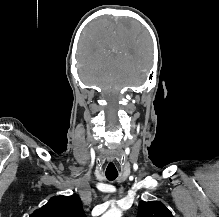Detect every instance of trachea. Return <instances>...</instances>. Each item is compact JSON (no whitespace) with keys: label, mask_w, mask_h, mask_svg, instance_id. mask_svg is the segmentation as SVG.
Segmentation results:
<instances>
[{"label":"trachea","mask_w":219,"mask_h":217,"mask_svg":"<svg viewBox=\"0 0 219 217\" xmlns=\"http://www.w3.org/2000/svg\"><path fill=\"white\" fill-rule=\"evenodd\" d=\"M105 174H106V178L110 181H113L118 177V172L117 171H114V172L106 171Z\"/></svg>","instance_id":"3493384b"}]
</instances>
